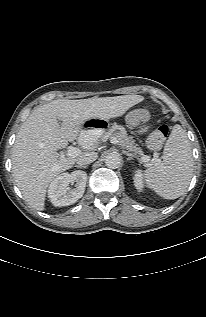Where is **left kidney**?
<instances>
[{
	"label": "left kidney",
	"instance_id": "5707ae66",
	"mask_svg": "<svg viewBox=\"0 0 206 317\" xmlns=\"http://www.w3.org/2000/svg\"><path fill=\"white\" fill-rule=\"evenodd\" d=\"M133 179H134V186L136 187V189L138 191H142L144 184H143L142 173L140 170L135 171V175Z\"/></svg>",
	"mask_w": 206,
	"mask_h": 317
}]
</instances>
